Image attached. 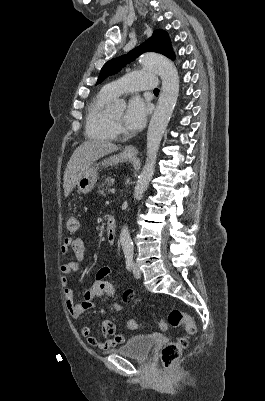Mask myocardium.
Instances as JSON below:
<instances>
[{
    "mask_svg": "<svg viewBox=\"0 0 265 401\" xmlns=\"http://www.w3.org/2000/svg\"><path fill=\"white\" fill-rule=\"evenodd\" d=\"M111 123H112V127H113V129L115 130V132H120V131H123L124 130V126H123V124H119V123H117L115 120H114V118H113V116H112V114H111Z\"/></svg>",
    "mask_w": 265,
    "mask_h": 401,
    "instance_id": "f54148a6",
    "label": "myocardium"
}]
</instances>
